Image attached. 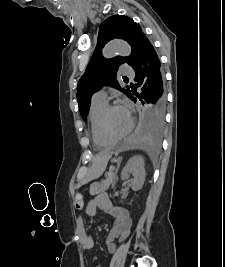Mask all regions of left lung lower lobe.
I'll return each instance as SVG.
<instances>
[{
	"mask_svg": "<svg viewBox=\"0 0 225 267\" xmlns=\"http://www.w3.org/2000/svg\"><path fill=\"white\" fill-rule=\"evenodd\" d=\"M132 68L136 73L134 80L137 83L134 88H131L128 97L133 102L138 99L142 104L148 103L151 108L165 111L166 97L163 71L156 51L146 36L141 41ZM136 88H140V94L137 93Z\"/></svg>",
	"mask_w": 225,
	"mask_h": 267,
	"instance_id": "left-lung-lower-lobe-1",
	"label": "left lung lower lobe"
}]
</instances>
